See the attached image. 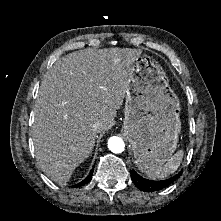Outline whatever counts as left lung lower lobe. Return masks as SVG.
Listing matches in <instances>:
<instances>
[{
	"mask_svg": "<svg viewBox=\"0 0 221 221\" xmlns=\"http://www.w3.org/2000/svg\"><path fill=\"white\" fill-rule=\"evenodd\" d=\"M130 173H131L132 181L137 186V188L142 191H147V192L159 191L167 187L182 174V172H179L177 175L169 179L161 180V181H152V180H147L141 177L134 170H132Z\"/></svg>",
	"mask_w": 221,
	"mask_h": 221,
	"instance_id": "1",
	"label": "left lung lower lobe"
}]
</instances>
